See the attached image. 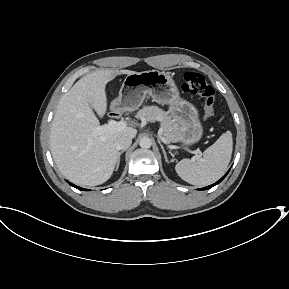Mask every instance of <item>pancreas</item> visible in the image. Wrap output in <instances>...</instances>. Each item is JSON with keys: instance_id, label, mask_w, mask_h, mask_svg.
<instances>
[{"instance_id": "pancreas-1", "label": "pancreas", "mask_w": 289, "mask_h": 289, "mask_svg": "<svg viewBox=\"0 0 289 289\" xmlns=\"http://www.w3.org/2000/svg\"><path fill=\"white\" fill-rule=\"evenodd\" d=\"M136 117L147 122L160 121L162 134L167 142L178 141L179 126L177 122L157 106L144 107L137 113Z\"/></svg>"}]
</instances>
